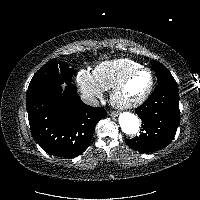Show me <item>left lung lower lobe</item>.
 Here are the masks:
<instances>
[{
    "label": "left lung lower lobe",
    "mask_w": 200,
    "mask_h": 200,
    "mask_svg": "<svg viewBox=\"0 0 200 200\" xmlns=\"http://www.w3.org/2000/svg\"><path fill=\"white\" fill-rule=\"evenodd\" d=\"M135 111L142 120L143 129L140 136L126 139L127 145L142 153L163 149L174 139L180 121L177 84H158Z\"/></svg>",
    "instance_id": "obj_1"
}]
</instances>
